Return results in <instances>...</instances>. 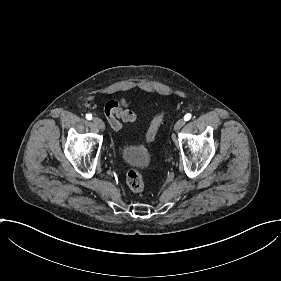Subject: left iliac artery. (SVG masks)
I'll return each mask as SVG.
<instances>
[{"label":"left iliac artery","instance_id":"44dca946","mask_svg":"<svg viewBox=\"0 0 281 281\" xmlns=\"http://www.w3.org/2000/svg\"><path fill=\"white\" fill-rule=\"evenodd\" d=\"M190 118H191V114H190V113H188V114H186V115L184 116V120H185V121H188Z\"/></svg>","mask_w":281,"mask_h":281}]
</instances>
